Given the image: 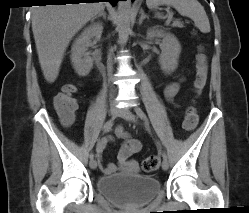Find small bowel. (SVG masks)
<instances>
[{
    "label": "small bowel",
    "mask_w": 249,
    "mask_h": 213,
    "mask_svg": "<svg viewBox=\"0 0 249 213\" xmlns=\"http://www.w3.org/2000/svg\"><path fill=\"white\" fill-rule=\"evenodd\" d=\"M182 80V77H178L176 80L169 82L164 87V96L169 102H172L175 95L178 93ZM63 122L65 125L71 124L66 120H63ZM115 133L118 138L123 140V144L118 152L117 159L120 163H125L132 155L138 153L141 150L142 144L139 140L132 138L120 126L116 128ZM112 140V137L103 138L96 146L98 164L101 170L106 174H110L116 170V166L113 163L104 164L102 161V154L105 150V147L107 143L111 142Z\"/></svg>",
    "instance_id": "obj_1"
}]
</instances>
